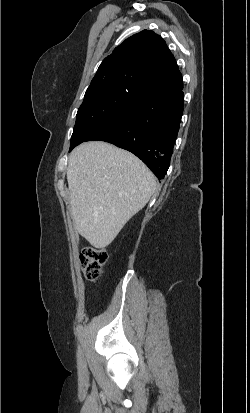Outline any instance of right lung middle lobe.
<instances>
[{"label":"right lung middle lobe","mask_w":250,"mask_h":413,"mask_svg":"<svg viewBox=\"0 0 250 413\" xmlns=\"http://www.w3.org/2000/svg\"><path fill=\"white\" fill-rule=\"evenodd\" d=\"M140 95L139 91L123 86L88 88L77 112L69 151L107 125L129 101Z\"/></svg>","instance_id":"obj_1"}]
</instances>
